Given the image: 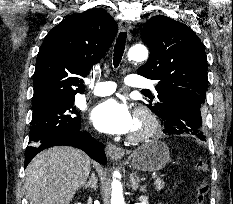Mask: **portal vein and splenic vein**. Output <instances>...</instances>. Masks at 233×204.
Segmentation results:
<instances>
[{"label": "portal vein and splenic vein", "instance_id": "obj_1", "mask_svg": "<svg viewBox=\"0 0 233 204\" xmlns=\"http://www.w3.org/2000/svg\"><path fill=\"white\" fill-rule=\"evenodd\" d=\"M160 177H161V176L157 177V179H156V180H160Z\"/></svg>", "mask_w": 233, "mask_h": 204}]
</instances>
